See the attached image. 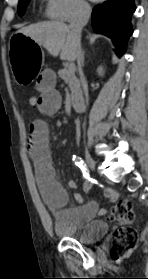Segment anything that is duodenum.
<instances>
[{
  "mask_svg": "<svg viewBox=\"0 0 148 279\" xmlns=\"http://www.w3.org/2000/svg\"><path fill=\"white\" fill-rule=\"evenodd\" d=\"M84 101L83 100H76L72 103L73 110L76 112H81L84 109Z\"/></svg>",
  "mask_w": 148,
  "mask_h": 279,
  "instance_id": "obj_1",
  "label": "duodenum"
}]
</instances>
